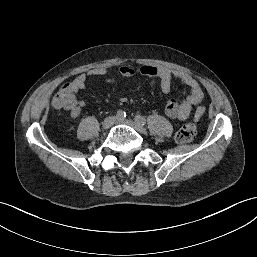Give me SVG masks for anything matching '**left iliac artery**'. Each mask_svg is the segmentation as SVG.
Listing matches in <instances>:
<instances>
[{
  "mask_svg": "<svg viewBox=\"0 0 257 257\" xmlns=\"http://www.w3.org/2000/svg\"><path fill=\"white\" fill-rule=\"evenodd\" d=\"M134 120L141 125L146 124V119L143 116L137 115L135 116Z\"/></svg>",
  "mask_w": 257,
  "mask_h": 257,
  "instance_id": "left-iliac-artery-1",
  "label": "left iliac artery"
}]
</instances>
